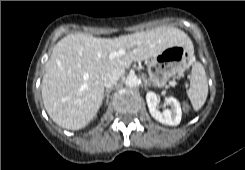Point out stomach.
I'll return each mask as SVG.
<instances>
[{"label": "stomach", "instance_id": "1", "mask_svg": "<svg viewBox=\"0 0 245 170\" xmlns=\"http://www.w3.org/2000/svg\"><path fill=\"white\" fill-rule=\"evenodd\" d=\"M193 53L185 46H173L148 61L149 80L155 87H164L181 73L192 60Z\"/></svg>", "mask_w": 245, "mask_h": 170}]
</instances>
